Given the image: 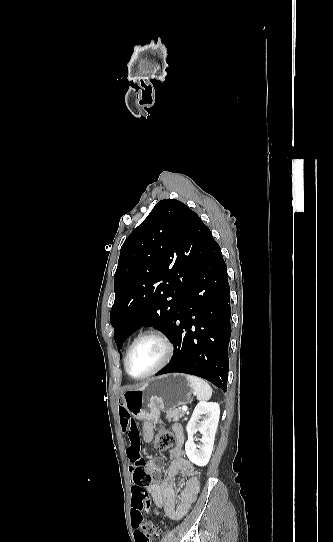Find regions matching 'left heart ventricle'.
<instances>
[{"mask_svg":"<svg viewBox=\"0 0 333 542\" xmlns=\"http://www.w3.org/2000/svg\"><path fill=\"white\" fill-rule=\"evenodd\" d=\"M163 346L155 339H145L133 349L128 369L133 376H141L155 368L163 357Z\"/></svg>","mask_w":333,"mask_h":542,"instance_id":"left-heart-ventricle-1","label":"left heart ventricle"}]
</instances>
